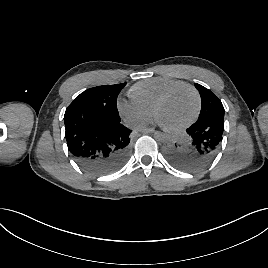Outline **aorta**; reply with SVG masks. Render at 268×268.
Listing matches in <instances>:
<instances>
[{
	"mask_svg": "<svg viewBox=\"0 0 268 268\" xmlns=\"http://www.w3.org/2000/svg\"><path fill=\"white\" fill-rule=\"evenodd\" d=\"M155 139L157 141H164L166 139V132L164 130H157L155 132Z\"/></svg>",
	"mask_w": 268,
	"mask_h": 268,
	"instance_id": "762f6f07",
	"label": "aorta"
}]
</instances>
